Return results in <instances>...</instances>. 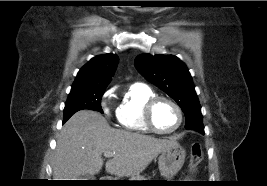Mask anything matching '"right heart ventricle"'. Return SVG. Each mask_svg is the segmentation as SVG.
Returning a JSON list of instances; mask_svg holds the SVG:
<instances>
[{"label":"right heart ventricle","mask_w":267,"mask_h":186,"mask_svg":"<svg viewBox=\"0 0 267 186\" xmlns=\"http://www.w3.org/2000/svg\"><path fill=\"white\" fill-rule=\"evenodd\" d=\"M155 92L147 85L136 83L130 86L116 109L118 126L129 132L149 133L143 121V108Z\"/></svg>","instance_id":"e07e8e85"}]
</instances>
